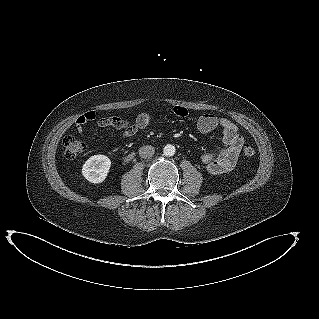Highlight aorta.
<instances>
[{"instance_id":"762f6f07","label":"aorta","mask_w":319,"mask_h":319,"mask_svg":"<svg viewBox=\"0 0 319 319\" xmlns=\"http://www.w3.org/2000/svg\"><path fill=\"white\" fill-rule=\"evenodd\" d=\"M176 152V149L173 145L171 144H167L164 149H163V153L166 155V156H173Z\"/></svg>"}]
</instances>
